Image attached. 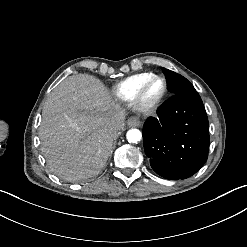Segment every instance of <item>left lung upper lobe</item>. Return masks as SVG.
<instances>
[{
    "label": "left lung upper lobe",
    "mask_w": 247,
    "mask_h": 247,
    "mask_svg": "<svg viewBox=\"0 0 247 247\" xmlns=\"http://www.w3.org/2000/svg\"><path fill=\"white\" fill-rule=\"evenodd\" d=\"M163 71L168 82V89L173 95L188 92H196L193 85L180 74H177L165 68H163Z\"/></svg>",
    "instance_id": "left-lung-upper-lobe-1"
}]
</instances>
